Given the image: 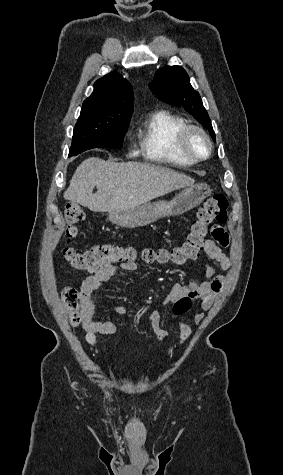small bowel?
Returning a JSON list of instances; mask_svg holds the SVG:
<instances>
[{
	"instance_id": "small-bowel-1",
	"label": "small bowel",
	"mask_w": 283,
	"mask_h": 475,
	"mask_svg": "<svg viewBox=\"0 0 283 475\" xmlns=\"http://www.w3.org/2000/svg\"><path fill=\"white\" fill-rule=\"evenodd\" d=\"M206 230L209 232L211 239L205 244V253L214 261L222 270H226L230 266L229 258L224 254L219 244L224 248H231L233 241L229 239L232 234L227 223H223L221 219H216L214 223H208ZM134 263L107 264L95 269L83 282L80 288V305H81V324L85 331L86 342L98 351L97 334L112 335L116 332L117 326L112 321L110 315L116 314L120 316L130 315L132 311L123 304L112 303L106 307V313L101 317H97V301L95 293L99 291L102 285L110 280L114 275L120 272H134L136 270ZM204 278L198 281H192L188 284H173L162 303L166 306L176 304L179 293H194L195 306L190 307L193 310V318L197 325L204 320V312L211 309L216 296L220 293L225 277L218 273L216 269L208 264H202ZM176 313V309H174ZM149 320L155 337L158 341H164L168 337L167 330L163 327L161 315L157 310H148L144 313ZM192 330L190 325L185 321L179 322L180 342H186L191 336Z\"/></svg>"
}]
</instances>
